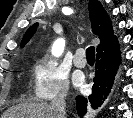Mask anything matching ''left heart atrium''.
<instances>
[{
	"mask_svg": "<svg viewBox=\"0 0 133 118\" xmlns=\"http://www.w3.org/2000/svg\"><path fill=\"white\" fill-rule=\"evenodd\" d=\"M75 84H76L78 87H80V88L83 87V84H84L83 79H82L81 77L76 78Z\"/></svg>",
	"mask_w": 133,
	"mask_h": 118,
	"instance_id": "39dd6f15",
	"label": "left heart atrium"
}]
</instances>
